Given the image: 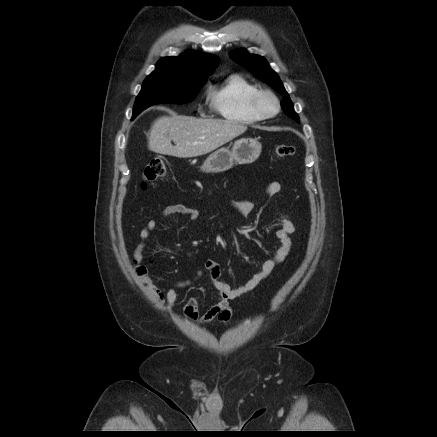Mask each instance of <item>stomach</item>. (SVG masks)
<instances>
[{"label": "stomach", "instance_id": "0dacf381", "mask_svg": "<svg viewBox=\"0 0 437 437\" xmlns=\"http://www.w3.org/2000/svg\"><path fill=\"white\" fill-rule=\"evenodd\" d=\"M262 151L261 143L252 138L237 140L232 149L220 148L210 154L200 170L205 173H220L229 170L234 162L249 164L258 159Z\"/></svg>", "mask_w": 437, "mask_h": 437}]
</instances>
